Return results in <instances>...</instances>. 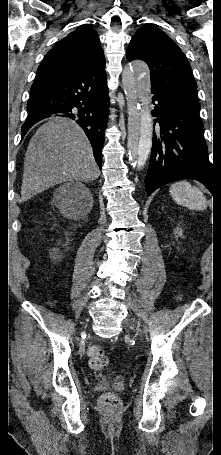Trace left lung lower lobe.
<instances>
[{"instance_id":"left-lung-lower-lobe-1","label":"left lung lower lobe","mask_w":221,"mask_h":455,"mask_svg":"<svg viewBox=\"0 0 221 455\" xmlns=\"http://www.w3.org/2000/svg\"><path fill=\"white\" fill-rule=\"evenodd\" d=\"M155 105L151 157L145 185L150 195L178 179H196L213 191L212 170L204 141L199 111L187 107L167 94L151 88ZM154 123V126H155Z\"/></svg>"}]
</instances>
